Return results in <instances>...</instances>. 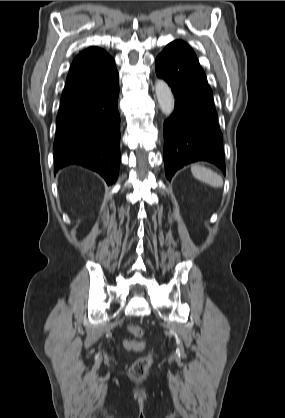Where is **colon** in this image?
Here are the masks:
<instances>
[{
	"mask_svg": "<svg viewBox=\"0 0 285 418\" xmlns=\"http://www.w3.org/2000/svg\"><path fill=\"white\" fill-rule=\"evenodd\" d=\"M128 330L134 337H141L143 334L142 329L138 326H130ZM152 362L153 356L151 352L143 357L138 358L134 361L130 368V375L133 378H142L146 376L150 366L152 365Z\"/></svg>",
	"mask_w": 285,
	"mask_h": 418,
	"instance_id": "obj_1",
	"label": "colon"
}]
</instances>
